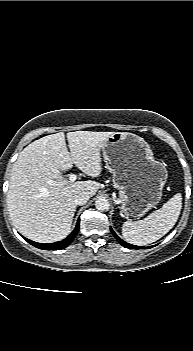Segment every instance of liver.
<instances>
[{
    "label": "liver",
    "instance_id": "liver-1",
    "mask_svg": "<svg viewBox=\"0 0 193 351\" xmlns=\"http://www.w3.org/2000/svg\"><path fill=\"white\" fill-rule=\"evenodd\" d=\"M114 132L75 131L42 137L26 146L12 168L7 206L15 228L40 243L64 239L70 232L80 192L94 196L96 181L63 178L73 164L90 177L102 172L101 150Z\"/></svg>",
    "mask_w": 193,
    "mask_h": 351
}]
</instances>
